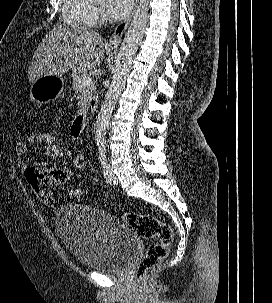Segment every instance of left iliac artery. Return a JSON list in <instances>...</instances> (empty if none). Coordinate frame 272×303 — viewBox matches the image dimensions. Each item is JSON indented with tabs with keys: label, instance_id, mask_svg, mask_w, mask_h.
Instances as JSON below:
<instances>
[{
	"label": "left iliac artery",
	"instance_id": "1",
	"mask_svg": "<svg viewBox=\"0 0 272 303\" xmlns=\"http://www.w3.org/2000/svg\"><path fill=\"white\" fill-rule=\"evenodd\" d=\"M99 159H100L102 166H105L107 164L105 144L99 145Z\"/></svg>",
	"mask_w": 272,
	"mask_h": 303
}]
</instances>
